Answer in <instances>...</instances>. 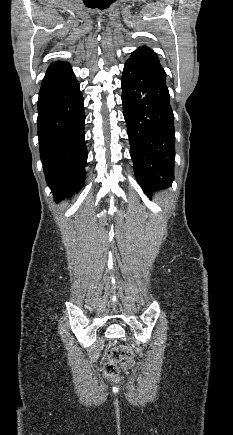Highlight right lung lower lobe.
Returning a JSON list of instances; mask_svg holds the SVG:
<instances>
[{"label": "right lung lower lobe", "mask_w": 233, "mask_h": 435, "mask_svg": "<svg viewBox=\"0 0 233 435\" xmlns=\"http://www.w3.org/2000/svg\"><path fill=\"white\" fill-rule=\"evenodd\" d=\"M84 99L74 73L41 87L38 98L40 158L55 202L85 181Z\"/></svg>", "instance_id": "98d812e1"}]
</instances>
